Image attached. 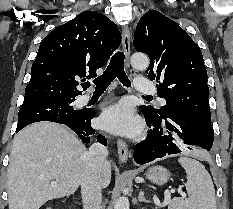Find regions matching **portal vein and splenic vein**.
<instances>
[{
    "label": "portal vein and splenic vein",
    "instance_id": "18ae733b",
    "mask_svg": "<svg viewBox=\"0 0 233 209\" xmlns=\"http://www.w3.org/2000/svg\"><path fill=\"white\" fill-rule=\"evenodd\" d=\"M52 186H56L57 185V182L56 181H53L51 183ZM178 193L181 195V196H185V193L182 191L181 188L178 189ZM170 202V192L169 191H166L165 192V199H164V202L162 204H160L161 206H165L167 205L168 203Z\"/></svg>",
    "mask_w": 233,
    "mask_h": 209
}]
</instances>
